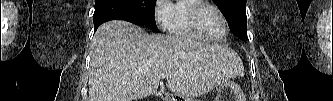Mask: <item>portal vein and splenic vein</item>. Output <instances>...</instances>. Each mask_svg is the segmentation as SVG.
Masks as SVG:
<instances>
[{
    "label": "portal vein and splenic vein",
    "instance_id": "18ae733b",
    "mask_svg": "<svg viewBox=\"0 0 333 101\" xmlns=\"http://www.w3.org/2000/svg\"><path fill=\"white\" fill-rule=\"evenodd\" d=\"M171 77V75H169V74H160V78L161 79H168V78H170Z\"/></svg>",
    "mask_w": 333,
    "mask_h": 101
}]
</instances>
